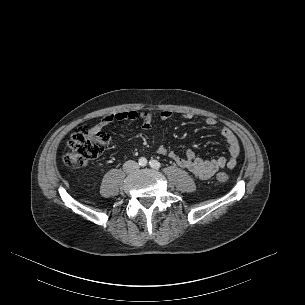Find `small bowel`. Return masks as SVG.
Listing matches in <instances>:
<instances>
[{
    "instance_id": "small-bowel-1",
    "label": "small bowel",
    "mask_w": 305,
    "mask_h": 305,
    "mask_svg": "<svg viewBox=\"0 0 305 305\" xmlns=\"http://www.w3.org/2000/svg\"><path fill=\"white\" fill-rule=\"evenodd\" d=\"M173 112L170 110H163L160 112L159 117L162 120H167L173 117ZM184 119L190 120L194 117L192 113H185L182 115ZM126 120H139L144 130H149L153 123V117L150 113L144 111H119L104 116L94 127L95 131H101L108 125ZM205 124L208 127H215L217 120L213 117H207ZM220 134L224 142L228 146V157H215L209 160H202L194 154L192 150H186L183 156L178 155L176 152L167 149L164 146L157 148V153L163 156L172 158L180 167L188 170L194 177L200 180H207L214 176L216 172L225 167L234 168L237 163V158L240 154V143L233 133V131L223 126Z\"/></svg>"
}]
</instances>
